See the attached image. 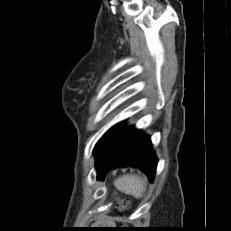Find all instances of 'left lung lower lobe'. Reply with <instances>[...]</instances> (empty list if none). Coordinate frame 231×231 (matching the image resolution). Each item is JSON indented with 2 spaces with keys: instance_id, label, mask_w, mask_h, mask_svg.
Wrapping results in <instances>:
<instances>
[{
  "instance_id": "left-lung-lower-lobe-1",
  "label": "left lung lower lobe",
  "mask_w": 231,
  "mask_h": 231,
  "mask_svg": "<svg viewBox=\"0 0 231 231\" xmlns=\"http://www.w3.org/2000/svg\"><path fill=\"white\" fill-rule=\"evenodd\" d=\"M97 177L104 179L110 169L137 167L153 180L157 159L150 137L123 122L112 127L96 144Z\"/></svg>"
}]
</instances>
